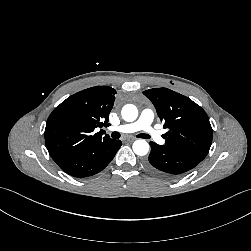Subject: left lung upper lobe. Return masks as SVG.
I'll list each match as a JSON object with an SVG mask.
<instances>
[{
	"instance_id": "1",
	"label": "left lung upper lobe",
	"mask_w": 251,
	"mask_h": 251,
	"mask_svg": "<svg viewBox=\"0 0 251 251\" xmlns=\"http://www.w3.org/2000/svg\"><path fill=\"white\" fill-rule=\"evenodd\" d=\"M154 104L164 126L166 147L174 148L203 160L212 143V127L206 112L188 97L167 88L143 92Z\"/></svg>"
}]
</instances>
